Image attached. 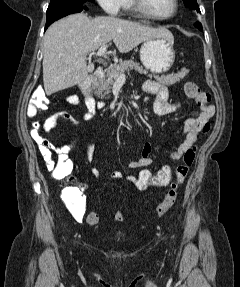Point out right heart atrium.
<instances>
[{
	"label": "right heart atrium",
	"instance_id": "right-heart-atrium-1",
	"mask_svg": "<svg viewBox=\"0 0 240 287\" xmlns=\"http://www.w3.org/2000/svg\"><path fill=\"white\" fill-rule=\"evenodd\" d=\"M124 0H97L101 8L111 16L121 13Z\"/></svg>",
	"mask_w": 240,
	"mask_h": 287
}]
</instances>
